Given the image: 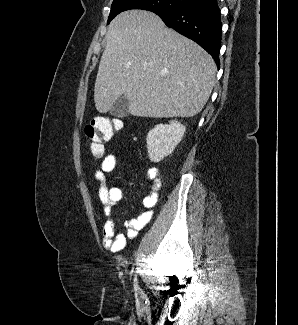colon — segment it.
<instances>
[{
  "mask_svg": "<svg viewBox=\"0 0 298 325\" xmlns=\"http://www.w3.org/2000/svg\"><path fill=\"white\" fill-rule=\"evenodd\" d=\"M121 121L116 118L95 117L85 128L87 143L94 156L103 152L104 144L121 128Z\"/></svg>",
  "mask_w": 298,
  "mask_h": 325,
  "instance_id": "obj_1",
  "label": "colon"
}]
</instances>
